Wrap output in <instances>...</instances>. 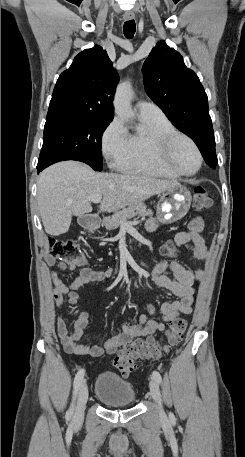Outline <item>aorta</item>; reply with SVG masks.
<instances>
[{
	"mask_svg": "<svg viewBox=\"0 0 245 457\" xmlns=\"http://www.w3.org/2000/svg\"><path fill=\"white\" fill-rule=\"evenodd\" d=\"M132 94V86L128 80L117 86L113 104L116 114L123 120H130L134 115L131 108Z\"/></svg>",
	"mask_w": 245,
	"mask_h": 457,
	"instance_id": "762f6f07",
	"label": "aorta"
}]
</instances>
